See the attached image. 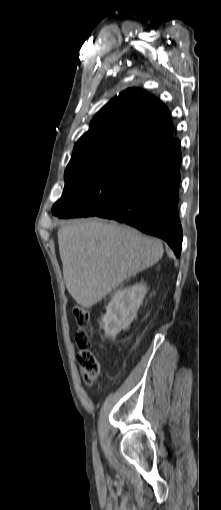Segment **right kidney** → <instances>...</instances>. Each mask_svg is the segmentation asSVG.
<instances>
[{
  "instance_id": "ca27d5eb",
  "label": "right kidney",
  "mask_w": 221,
  "mask_h": 510,
  "mask_svg": "<svg viewBox=\"0 0 221 510\" xmlns=\"http://www.w3.org/2000/svg\"><path fill=\"white\" fill-rule=\"evenodd\" d=\"M146 293L147 286L144 283H138L115 292L106 307V314L102 318V326L106 335L116 336L121 330L128 328L136 318Z\"/></svg>"
}]
</instances>
